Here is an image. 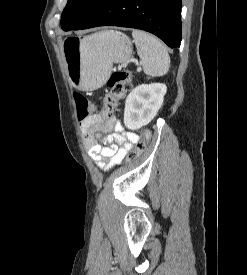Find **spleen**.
Listing matches in <instances>:
<instances>
[{"instance_id":"1","label":"spleen","mask_w":247,"mask_h":275,"mask_svg":"<svg viewBox=\"0 0 247 275\" xmlns=\"http://www.w3.org/2000/svg\"><path fill=\"white\" fill-rule=\"evenodd\" d=\"M102 34L95 35L94 38H101ZM137 54L142 60L144 72L152 77L165 75L170 68V57L166 46L153 35L141 31L133 30Z\"/></svg>"}]
</instances>
